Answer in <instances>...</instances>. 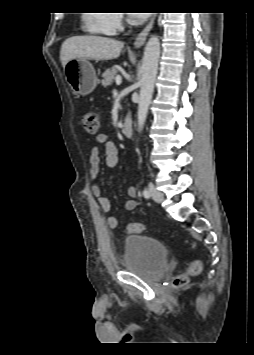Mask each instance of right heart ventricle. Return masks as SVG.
Here are the masks:
<instances>
[{
    "instance_id": "1",
    "label": "right heart ventricle",
    "mask_w": 254,
    "mask_h": 355,
    "mask_svg": "<svg viewBox=\"0 0 254 355\" xmlns=\"http://www.w3.org/2000/svg\"><path fill=\"white\" fill-rule=\"evenodd\" d=\"M105 14L92 12L84 18L85 29L91 34L111 35L107 26L104 23Z\"/></svg>"
}]
</instances>
